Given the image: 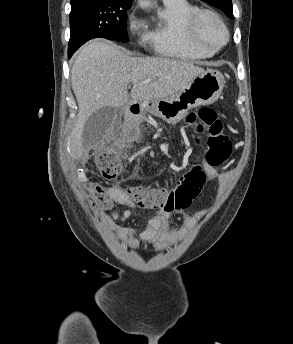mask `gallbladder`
I'll return each instance as SVG.
<instances>
[{"label":"gallbladder","mask_w":293,"mask_h":344,"mask_svg":"<svg viewBox=\"0 0 293 344\" xmlns=\"http://www.w3.org/2000/svg\"><path fill=\"white\" fill-rule=\"evenodd\" d=\"M117 110L110 106H105L90 115L87 119L83 132L82 143L85 149L99 145L109 127L116 119Z\"/></svg>","instance_id":"obj_1"}]
</instances>
